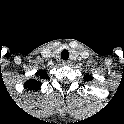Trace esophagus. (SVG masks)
I'll list each match as a JSON object with an SVG mask.
<instances>
[{
	"label": "esophagus",
	"instance_id": "1",
	"mask_svg": "<svg viewBox=\"0 0 124 124\" xmlns=\"http://www.w3.org/2000/svg\"><path fill=\"white\" fill-rule=\"evenodd\" d=\"M62 64H64V65H70L71 64V61L70 60H63L62 61Z\"/></svg>",
	"mask_w": 124,
	"mask_h": 124
}]
</instances>
